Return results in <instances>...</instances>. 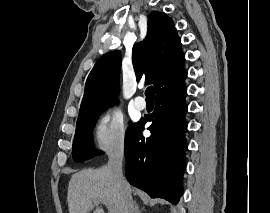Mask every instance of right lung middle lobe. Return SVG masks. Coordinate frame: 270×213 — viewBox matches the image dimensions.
Instances as JSON below:
<instances>
[{
  "mask_svg": "<svg viewBox=\"0 0 270 213\" xmlns=\"http://www.w3.org/2000/svg\"><path fill=\"white\" fill-rule=\"evenodd\" d=\"M99 113L88 116L77 121L76 132L73 142V159L74 161L83 162L89 159L95 152L91 150L92 139L91 133L93 125L98 117ZM133 125H130L126 133L131 129Z\"/></svg>",
  "mask_w": 270,
  "mask_h": 213,
  "instance_id": "right-lung-middle-lobe-1",
  "label": "right lung middle lobe"
}]
</instances>
